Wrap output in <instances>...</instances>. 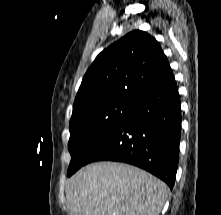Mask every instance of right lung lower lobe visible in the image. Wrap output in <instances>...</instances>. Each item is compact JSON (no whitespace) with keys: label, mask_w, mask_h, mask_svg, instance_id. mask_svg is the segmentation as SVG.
Masks as SVG:
<instances>
[{"label":"right lung lower lobe","mask_w":221,"mask_h":215,"mask_svg":"<svg viewBox=\"0 0 221 215\" xmlns=\"http://www.w3.org/2000/svg\"><path fill=\"white\" fill-rule=\"evenodd\" d=\"M181 120L178 87L173 79L133 102L86 164L105 160L132 164L172 189L178 167Z\"/></svg>","instance_id":"right-lung-lower-lobe-1"}]
</instances>
